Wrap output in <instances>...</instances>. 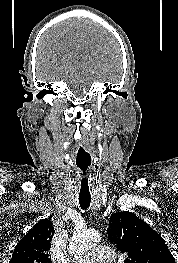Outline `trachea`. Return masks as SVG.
Here are the masks:
<instances>
[{
	"instance_id": "3493384b",
	"label": "trachea",
	"mask_w": 178,
	"mask_h": 263,
	"mask_svg": "<svg viewBox=\"0 0 178 263\" xmlns=\"http://www.w3.org/2000/svg\"><path fill=\"white\" fill-rule=\"evenodd\" d=\"M80 182H79V205L81 209L86 210L91 203V194L88 183L87 167H79Z\"/></svg>"
}]
</instances>
